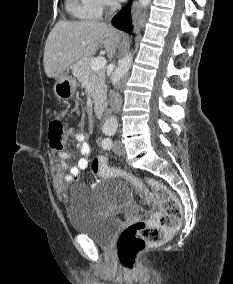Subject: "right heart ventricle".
I'll list each match as a JSON object with an SVG mask.
<instances>
[{
  "label": "right heart ventricle",
  "mask_w": 233,
  "mask_h": 284,
  "mask_svg": "<svg viewBox=\"0 0 233 284\" xmlns=\"http://www.w3.org/2000/svg\"><path fill=\"white\" fill-rule=\"evenodd\" d=\"M67 10L77 19L85 21L98 20L102 15L99 0H67Z\"/></svg>",
  "instance_id": "e07e8e85"
}]
</instances>
